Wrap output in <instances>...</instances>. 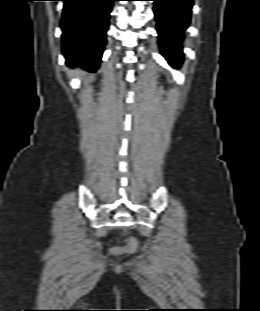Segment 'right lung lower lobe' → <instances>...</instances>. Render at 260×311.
<instances>
[{
    "label": "right lung lower lobe",
    "mask_w": 260,
    "mask_h": 311,
    "mask_svg": "<svg viewBox=\"0 0 260 311\" xmlns=\"http://www.w3.org/2000/svg\"><path fill=\"white\" fill-rule=\"evenodd\" d=\"M62 52L71 66L95 71L106 43L114 0H62Z\"/></svg>",
    "instance_id": "obj_1"
}]
</instances>
